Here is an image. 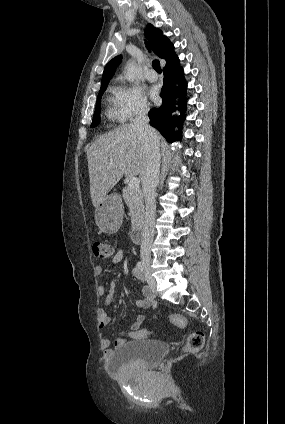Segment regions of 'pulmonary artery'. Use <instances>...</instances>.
Listing matches in <instances>:
<instances>
[{
  "mask_svg": "<svg viewBox=\"0 0 285 424\" xmlns=\"http://www.w3.org/2000/svg\"><path fill=\"white\" fill-rule=\"evenodd\" d=\"M147 80L154 82L158 79V76L154 70H148L146 73Z\"/></svg>",
  "mask_w": 285,
  "mask_h": 424,
  "instance_id": "1",
  "label": "pulmonary artery"
}]
</instances>
